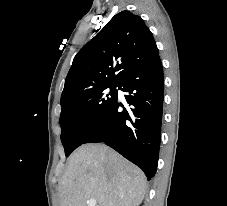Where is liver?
<instances>
[{
  "label": "liver",
  "mask_w": 227,
  "mask_h": 206,
  "mask_svg": "<svg viewBox=\"0 0 227 206\" xmlns=\"http://www.w3.org/2000/svg\"><path fill=\"white\" fill-rule=\"evenodd\" d=\"M147 191L141 169L104 144H85L68 160L58 185L59 206H139Z\"/></svg>",
  "instance_id": "obj_1"
}]
</instances>
